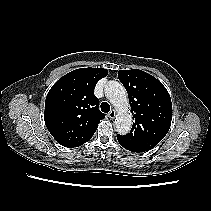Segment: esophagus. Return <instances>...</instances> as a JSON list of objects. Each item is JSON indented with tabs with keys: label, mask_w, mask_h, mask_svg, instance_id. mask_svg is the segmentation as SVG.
I'll use <instances>...</instances> for the list:
<instances>
[{
	"label": "esophagus",
	"mask_w": 211,
	"mask_h": 211,
	"mask_svg": "<svg viewBox=\"0 0 211 211\" xmlns=\"http://www.w3.org/2000/svg\"><path fill=\"white\" fill-rule=\"evenodd\" d=\"M108 116L110 119H114L115 116H116V111L115 110H111L109 113H108Z\"/></svg>",
	"instance_id": "34e87169"
}]
</instances>
